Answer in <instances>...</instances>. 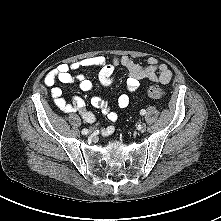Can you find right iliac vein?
I'll return each instance as SVG.
<instances>
[{
  "label": "right iliac vein",
  "mask_w": 221,
  "mask_h": 221,
  "mask_svg": "<svg viewBox=\"0 0 221 221\" xmlns=\"http://www.w3.org/2000/svg\"><path fill=\"white\" fill-rule=\"evenodd\" d=\"M88 132H89V133H92V130L90 129Z\"/></svg>",
  "instance_id": "obj_1"
}]
</instances>
